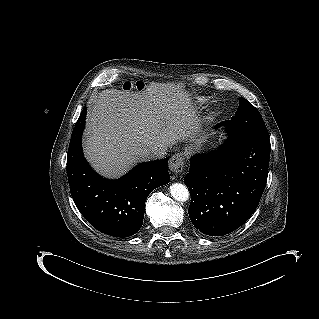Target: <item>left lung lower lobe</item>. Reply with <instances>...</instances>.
Here are the masks:
<instances>
[{
	"label": "left lung lower lobe",
	"mask_w": 319,
	"mask_h": 319,
	"mask_svg": "<svg viewBox=\"0 0 319 319\" xmlns=\"http://www.w3.org/2000/svg\"><path fill=\"white\" fill-rule=\"evenodd\" d=\"M270 150L269 137L230 136L213 153L191 158L184 183L190 190L188 213L196 229L223 236L249 219L266 186Z\"/></svg>",
	"instance_id": "0a47b994"
}]
</instances>
